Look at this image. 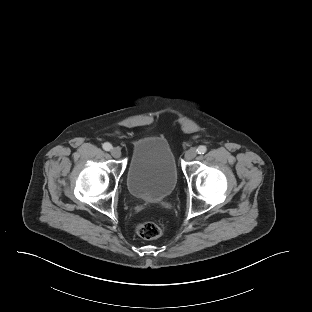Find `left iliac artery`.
<instances>
[{
  "label": "left iliac artery",
  "mask_w": 312,
  "mask_h": 312,
  "mask_svg": "<svg viewBox=\"0 0 312 312\" xmlns=\"http://www.w3.org/2000/svg\"><path fill=\"white\" fill-rule=\"evenodd\" d=\"M206 151H207V148H206V146H204V145H201V146H199V147L197 148L198 154H204V153H206Z\"/></svg>",
  "instance_id": "44dca946"
}]
</instances>
